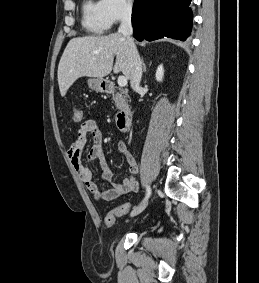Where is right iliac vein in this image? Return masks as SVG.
I'll use <instances>...</instances> for the list:
<instances>
[{
  "mask_svg": "<svg viewBox=\"0 0 259 283\" xmlns=\"http://www.w3.org/2000/svg\"><path fill=\"white\" fill-rule=\"evenodd\" d=\"M147 206V201H144L143 203H141L140 205H138L137 207H135L132 212L130 213L131 217H134L138 214H140L142 211H144V209Z\"/></svg>",
  "mask_w": 259,
  "mask_h": 283,
  "instance_id": "63e3f726",
  "label": "right iliac vein"
}]
</instances>
